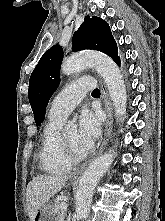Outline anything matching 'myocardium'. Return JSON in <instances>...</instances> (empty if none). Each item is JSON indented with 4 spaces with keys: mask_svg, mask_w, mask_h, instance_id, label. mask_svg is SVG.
Listing matches in <instances>:
<instances>
[{
    "mask_svg": "<svg viewBox=\"0 0 165 221\" xmlns=\"http://www.w3.org/2000/svg\"><path fill=\"white\" fill-rule=\"evenodd\" d=\"M61 146L65 156L73 163H78L83 161L88 156V151L84 153H78L68 142L64 134H61Z\"/></svg>",
    "mask_w": 165,
    "mask_h": 221,
    "instance_id": "obj_1",
    "label": "myocardium"
}]
</instances>
